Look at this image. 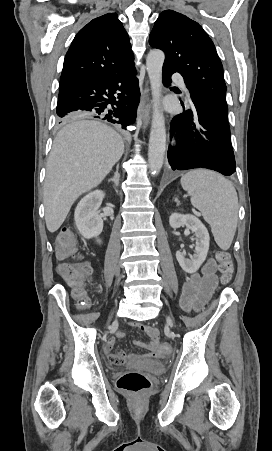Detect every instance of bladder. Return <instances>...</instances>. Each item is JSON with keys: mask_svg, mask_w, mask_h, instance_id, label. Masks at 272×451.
<instances>
[{"mask_svg": "<svg viewBox=\"0 0 272 451\" xmlns=\"http://www.w3.org/2000/svg\"><path fill=\"white\" fill-rule=\"evenodd\" d=\"M165 360L156 357L140 358L137 363L138 369L143 373L162 374L166 367Z\"/></svg>", "mask_w": 272, "mask_h": 451, "instance_id": "1", "label": "bladder"}]
</instances>
